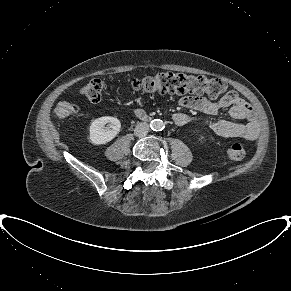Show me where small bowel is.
I'll list each match as a JSON object with an SVG mask.
<instances>
[{
    "instance_id": "small-bowel-1",
    "label": "small bowel",
    "mask_w": 291,
    "mask_h": 291,
    "mask_svg": "<svg viewBox=\"0 0 291 291\" xmlns=\"http://www.w3.org/2000/svg\"><path fill=\"white\" fill-rule=\"evenodd\" d=\"M183 107L215 115L221 109H228L234 121H207L206 126L215 134L226 138H240L252 141L257 138L260 127L252 107L236 92H227L219 101L212 102L203 96H184L180 99ZM173 121L178 126H184L191 121L190 115L178 112L173 115Z\"/></svg>"
}]
</instances>
